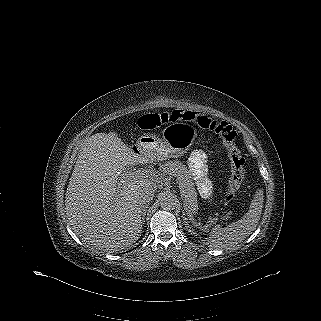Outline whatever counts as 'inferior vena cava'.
I'll use <instances>...</instances> for the list:
<instances>
[{
    "label": "inferior vena cava",
    "mask_w": 321,
    "mask_h": 321,
    "mask_svg": "<svg viewBox=\"0 0 321 321\" xmlns=\"http://www.w3.org/2000/svg\"><path fill=\"white\" fill-rule=\"evenodd\" d=\"M155 195V189L152 186H143L139 191V202L149 204Z\"/></svg>",
    "instance_id": "602c4592"
}]
</instances>
